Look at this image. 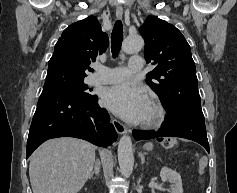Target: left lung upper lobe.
<instances>
[{"label":"left lung upper lobe","instance_id":"5c2ea615","mask_svg":"<svg viewBox=\"0 0 237 193\" xmlns=\"http://www.w3.org/2000/svg\"><path fill=\"white\" fill-rule=\"evenodd\" d=\"M147 63L156 65L146 82L158 94L169 115L201 109L196 68L188 42L172 24L148 16L139 29Z\"/></svg>","mask_w":237,"mask_h":193}]
</instances>
